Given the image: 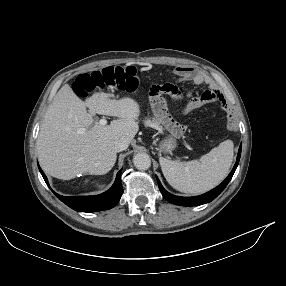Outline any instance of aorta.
Returning <instances> with one entry per match:
<instances>
[{"label": "aorta", "mask_w": 286, "mask_h": 286, "mask_svg": "<svg viewBox=\"0 0 286 286\" xmlns=\"http://www.w3.org/2000/svg\"><path fill=\"white\" fill-rule=\"evenodd\" d=\"M133 163L139 170H147L151 166V159L146 153H137L133 157Z\"/></svg>", "instance_id": "obj_1"}]
</instances>
